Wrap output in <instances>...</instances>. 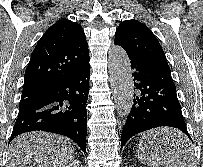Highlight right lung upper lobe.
Here are the masks:
<instances>
[{"instance_id": "right-lung-upper-lobe-1", "label": "right lung upper lobe", "mask_w": 203, "mask_h": 167, "mask_svg": "<svg viewBox=\"0 0 203 167\" xmlns=\"http://www.w3.org/2000/svg\"><path fill=\"white\" fill-rule=\"evenodd\" d=\"M88 60L83 28L68 19L59 20L48 28L32 52L21 99L47 94Z\"/></svg>"}]
</instances>
